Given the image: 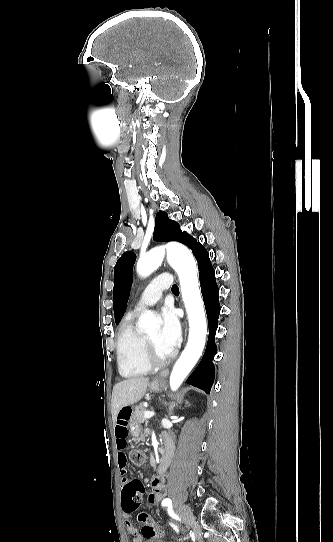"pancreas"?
Here are the masks:
<instances>
[{"label":"pancreas","mask_w":333,"mask_h":542,"mask_svg":"<svg viewBox=\"0 0 333 542\" xmlns=\"http://www.w3.org/2000/svg\"><path fill=\"white\" fill-rule=\"evenodd\" d=\"M152 410V408H151ZM144 412H150V410H146L145 406H143V404H140V406H137V408H135V412L132 416L133 420H136V422H138V424H144L146 418H143L144 416Z\"/></svg>","instance_id":"cf45deb5"}]
</instances>
